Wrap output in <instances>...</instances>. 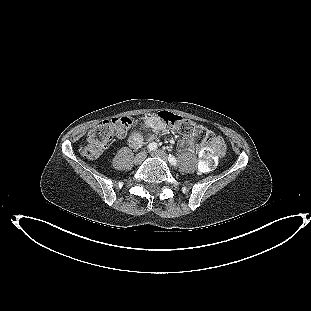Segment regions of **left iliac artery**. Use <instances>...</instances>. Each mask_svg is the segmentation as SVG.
<instances>
[{
    "label": "left iliac artery",
    "mask_w": 311,
    "mask_h": 311,
    "mask_svg": "<svg viewBox=\"0 0 311 311\" xmlns=\"http://www.w3.org/2000/svg\"><path fill=\"white\" fill-rule=\"evenodd\" d=\"M168 160L172 165L177 166V160L173 155L169 154Z\"/></svg>",
    "instance_id": "44dca946"
}]
</instances>
